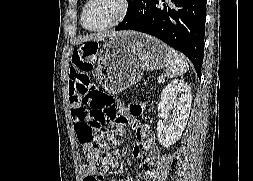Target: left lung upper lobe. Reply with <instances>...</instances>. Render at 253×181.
<instances>
[{
	"label": "left lung upper lobe",
	"mask_w": 253,
	"mask_h": 181,
	"mask_svg": "<svg viewBox=\"0 0 253 181\" xmlns=\"http://www.w3.org/2000/svg\"><path fill=\"white\" fill-rule=\"evenodd\" d=\"M136 2H137V0H133V1L129 4L126 16L132 11V9H133V7H134V5H135Z\"/></svg>",
	"instance_id": "left-lung-upper-lobe-1"
}]
</instances>
